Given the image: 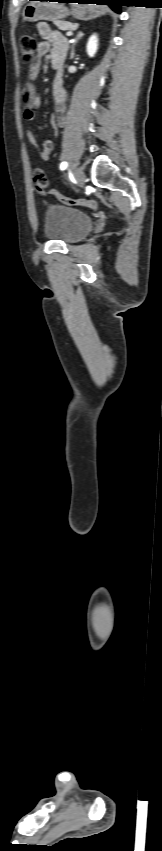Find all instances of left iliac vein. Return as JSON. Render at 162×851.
I'll list each match as a JSON object with an SVG mask.
<instances>
[{"label":"left iliac vein","mask_w":162,"mask_h":851,"mask_svg":"<svg viewBox=\"0 0 162 851\" xmlns=\"http://www.w3.org/2000/svg\"><path fill=\"white\" fill-rule=\"evenodd\" d=\"M75 179L79 186H83L85 182V174L81 168H76L74 171Z\"/></svg>","instance_id":"left-iliac-vein-1"}]
</instances>
